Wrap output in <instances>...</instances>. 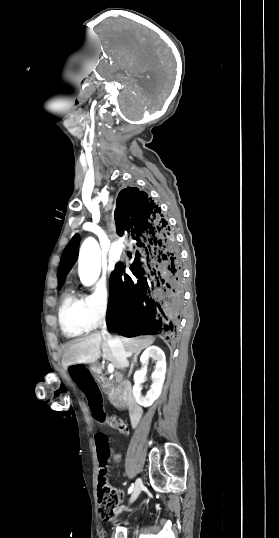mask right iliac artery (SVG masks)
Instances as JSON below:
<instances>
[{
    "instance_id": "right-iliac-artery-1",
    "label": "right iliac artery",
    "mask_w": 279,
    "mask_h": 538,
    "mask_svg": "<svg viewBox=\"0 0 279 538\" xmlns=\"http://www.w3.org/2000/svg\"><path fill=\"white\" fill-rule=\"evenodd\" d=\"M133 488H134V485L132 484V485L129 487L128 493H131L132 490H133Z\"/></svg>"
}]
</instances>
